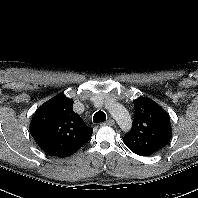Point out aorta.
I'll list each match as a JSON object with an SVG mask.
<instances>
[{
  "mask_svg": "<svg viewBox=\"0 0 198 198\" xmlns=\"http://www.w3.org/2000/svg\"><path fill=\"white\" fill-rule=\"evenodd\" d=\"M108 110L123 131L131 129V116L124 106L120 104H112L111 106H108Z\"/></svg>",
  "mask_w": 198,
  "mask_h": 198,
  "instance_id": "1",
  "label": "aorta"
}]
</instances>
